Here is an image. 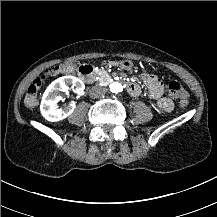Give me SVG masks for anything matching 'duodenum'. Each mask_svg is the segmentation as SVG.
Wrapping results in <instances>:
<instances>
[{"label":"duodenum","mask_w":217,"mask_h":217,"mask_svg":"<svg viewBox=\"0 0 217 217\" xmlns=\"http://www.w3.org/2000/svg\"><path fill=\"white\" fill-rule=\"evenodd\" d=\"M107 63L112 64L111 62H107ZM79 71H80L81 78L84 81H86V82H92L93 81L94 75H95V68L93 65H91V64L82 65L80 67ZM126 88H127L128 92L132 95H136L140 91L139 86L134 82L128 83Z\"/></svg>","instance_id":"410a0bca"}]
</instances>
